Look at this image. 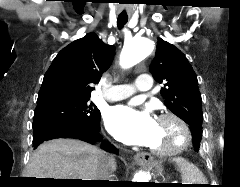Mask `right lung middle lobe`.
<instances>
[{
  "label": "right lung middle lobe",
  "instance_id": "right-lung-middle-lobe-1",
  "mask_svg": "<svg viewBox=\"0 0 240 187\" xmlns=\"http://www.w3.org/2000/svg\"><path fill=\"white\" fill-rule=\"evenodd\" d=\"M90 98L59 99L36 106L33 127L45 122L60 120L76 126L98 121L100 111L89 102Z\"/></svg>",
  "mask_w": 240,
  "mask_h": 187
}]
</instances>
